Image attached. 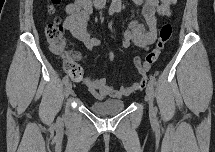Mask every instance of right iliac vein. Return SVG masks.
I'll return each mask as SVG.
<instances>
[{"instance_id": "obj_1", "label": "right iliac vein", "mask_w": 215, "mask_h": 152, "mask_svg": "<svg viewBox=\"0 0 215 152\" xmlns=\"http://www.w3.org/2000/svg\"><path fill=\"white\" fill-rule=\"evenodd\" d=\"M72 93V85L71 83H66L65 85V96L68 97Z\"/></svg>"}]
</instances>
